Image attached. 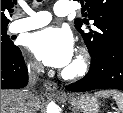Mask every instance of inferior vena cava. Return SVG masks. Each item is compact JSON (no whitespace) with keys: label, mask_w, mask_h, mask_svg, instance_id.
Segmentation results:
<instances>
[{"label":"inferior vena cava","mask_w":123,"mask_h":113,"mask_svg":"<svg viewBox=\"0 0 123 113\" xmlns=\"http://www.w3.org/2000/svg\"><path fill=\"white\" fill-rule=\"evenodd\" d=\"M42 71V67L37 64L29 65V84L33 86L36 84L38 74ZM35 96L32 92H25V103L23 113H35Z\"/></svg>","instance_id":"602c4592"}]
</instances>
